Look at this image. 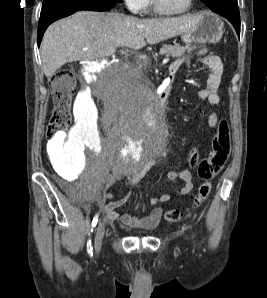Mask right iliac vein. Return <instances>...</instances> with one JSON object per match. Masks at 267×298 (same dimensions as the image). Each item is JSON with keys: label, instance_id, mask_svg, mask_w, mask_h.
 Here are the masks:
<instances>
[{"label": "right iliac vein", "instance_id": "obj_1", "mask_svg": "<svg viewBox=\"0 0 267 298\" xmlns=\"http://www.w3.org/2000/svg\"><path fill=\"white\" fill-rule=\"evenodd\" d=\"M104 233H105V226H104V223L101 221L99 222L96 228V233L94 238V248L96 253H99V251L101 250Z\"/></svg>", "mask_w": 267, "mask_h": 298}]
</instances>
